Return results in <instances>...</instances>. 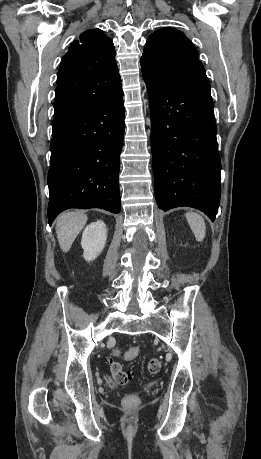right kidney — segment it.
Here are the masks:
<instances>
[{"instance_id": "obj_1", "label": "right kidney", "mask_w": 261, "mask_h": 459, "mask_svg": "<svg viewBox=\"0 0 261 459\" xmlns=\"http://www.w3.org/2000/svg\"><path fill=\"white\" fill-rule=\"evenodd\" d=\"M107 240V229L103 221L90 223L84 229L81 246L86 261H92L102 252Z\"/></svg>"}]
</instances>
